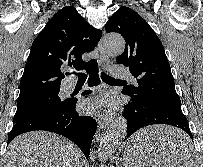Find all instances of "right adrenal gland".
I'll use <instances>...</instances> for the list:
<instances>
[{
	"label": "right adrenal gland",
	"instance_id": "1",
	"mask_svg": "<svg viewBox=\"0 0 203 167\" xmlns=\"http://www.w3.org/2000/svg\"><path fill=\"white\" fill-rule=\"evenodd\" d=\"M80 167H83V163L82 162L80 163Z\"/></svg>",
	"mask_w": 203,
	"mask_h": 167
}]
</instances>
